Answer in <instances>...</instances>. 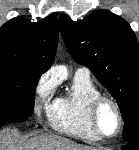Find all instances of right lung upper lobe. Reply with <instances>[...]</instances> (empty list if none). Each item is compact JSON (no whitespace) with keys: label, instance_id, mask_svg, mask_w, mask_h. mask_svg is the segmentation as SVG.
<instances>
[{"label":"right lung upper lobe","instance_id":"right-lung-upper-lobe-1","mask_svg":"<svg viewBox=\"0 0 139 150\" xmlns=\"http://www.w3.org/2000/svg\"><path fill=\"white\" fill-rule=\"evenodd\" d=\"M58 20L39 22L16 17L0 28V66L33 70L40 75L52 64L58 45Z\"/></svg>","mask_w":139,"mask_h":150}]
</instances>
